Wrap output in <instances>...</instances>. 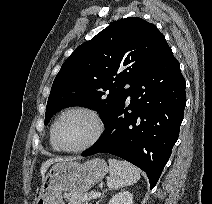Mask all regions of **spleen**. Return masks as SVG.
Wrapping results in <instances>:
<instances>
[{
    "instance_id": "obj_1",
    "label": "spleen",
    "mask_w": 212,
    "mask_h": 204,
    "mask_svg": "<svg viewBox=\"0 0 212 204\" xmlns=\"http://www.w3.org/2000/svg\"><path fill=\"white\" fill-rule=\"evenodd\" d=\"M107 186L110 189H119L133 185L140 179L139 170L127 161L109 159Z\"/></svg>"
}]
</instances>
